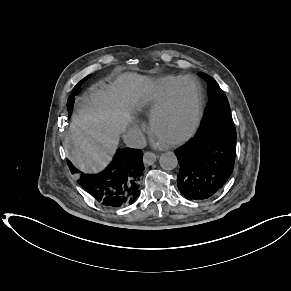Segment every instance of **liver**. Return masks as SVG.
<instances>
[{"instance_id": "1", "label": "liver", "mask_w": 291, "mask_h": 291, "mask_svg": "<svg viewBox=\"0 0 291 291\" xmlns=\"http://www.w3.org/2000/svg\"><path fill=\"white\" fill-rule=\"evenodd\" d=\"M151 84L147 76L126 73L102 89H92L69 126L71 160L82 171L96 173L111 160L119 134L130 122L129 104Z\"/></svg>"}]
</instances>
